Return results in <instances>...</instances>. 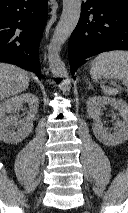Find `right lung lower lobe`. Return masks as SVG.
Returning <instances> with one entry per match:
<instances>
[{
  "mask_svg": "<svg viewBox=\"0 0 128 213\" xmlns=\"http://www.w3.org/2000/svg\"><path fill=\"white\" fill-rule=\"evenodd\" d=\"M47 9V0H0V60L16 62L39 78Z\"/></svg>",
  "mask_w": 128,
  "mask_h": 213,
  "instance_id": "1",
  "label": "right lung lower lobe"
}]
</instances>
